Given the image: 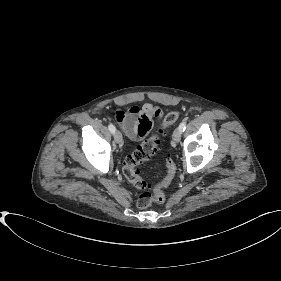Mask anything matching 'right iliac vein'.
Returning a JSON list of instances; mask_svg holds the SVG:
<instances>
[{
  "mask_svg": "<svg viewBox=\"0 0 281 281\" xmlns=\"http://www.w3.org/2000/svg\"><path fill=\"white\" fill-rule=\"evenodd\" d=\"M114 140L119 145L122 143V135H121L120 131L117 130L114 132Z\"/></svg>",
  "mask_w": 281,
  "mask_h": 281,
  "instance_id": "obj_1",
  "label": "right iliac vein"
}]
</instances>
